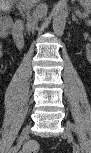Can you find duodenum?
<instances>
[{
  "instance_id": "410a0bca",
  "label": "duodenum",
  "mask_w": 91,
  "mask_h": 153,
  "mask_svg": "<svg viewBox=\"0 0 91 153\" xmlns=\"http://www.w3.org/2000/svg\"><path fill=\"white\" fill-rule=\"evenodd\" d=\"M12 38L19 50H23L25 47V37H24V21L18 18L11 30Z\"/></svg>"
}]
</instances>
